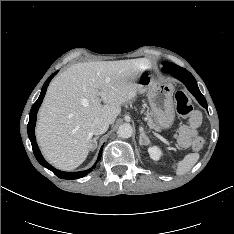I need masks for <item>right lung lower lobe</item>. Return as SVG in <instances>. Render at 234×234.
Segmentation results:
<instances>
[{
	"label": "right lung lower lobe",
	"instance_id": "1",
	"mask_svg": "<svg viewBox=\"0 0 234 234\" xmlns=\"http://www.w3.org/2000/svg\"><path fill=\"white\" fill-rule=\"evenodd\" d=\"M56 73L57 72H55L54 74H52L46 80V82L44 83V85L42 87V90H41L39 98L33 104L32 108H31V111H30V114H29V123L27 125L28 136H29V139H30L31 144H32L34 155H35L36 159L38 160V162L42 166H44L47 169H49L50 171H52L59 178H62V179H78V178H81V177L87 175L89 172H91L92 169L95 168V165L92 168H90L88 171H82V172H63V171H60V170H56L54 167H52L50 164H48L45 161V159L43 158V156L41 155V152H40V150H39V148L37 146L36 138H35V134H34V129H35V124H36V117H37L38 109H39V107H40V105H41V103L43 101V98L45 96L47 87H48L51 79L54 77V75ZM102 149H103V147L100 150V153H99L97 161H99L100 158H101Z\"/></svg>",
	"mask_w": 234,
	"mask_h": 234
}]
</instances>
